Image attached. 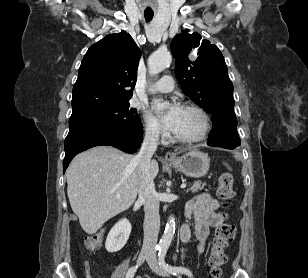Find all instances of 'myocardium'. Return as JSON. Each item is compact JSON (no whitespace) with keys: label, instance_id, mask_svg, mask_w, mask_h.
Segmentation results:
<instances>
[{"label":"myocardium","instance_id":"obj_1","mask_svg":"<svg viewBox=\"0 0 308 278\" xmlns=\"http://www.w3.org/2000/svg\"><path fill=\"white\" fill-rule=\"evenodd\" d=\"M183 109L196 112L202 120V128L196 135L182 136L175 133L174 138L182 143H195L202 141L205 139L211 129V119L209 114L205 109L196 104H186L184 105Z\"/></svg>","mask_w":308,"mask_h":278}]
</instances>
